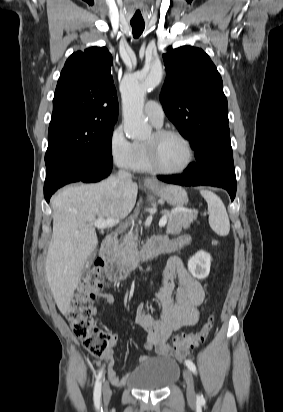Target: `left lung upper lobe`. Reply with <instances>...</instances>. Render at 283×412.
Returning <instances> with one entry per match:
<instances>
[{"mask_svg":"<svg viewBox=\"0 0 283 412\" xmlns=\"http://www.w3.org/2000/svg\"><path fill=\"white\" fill-rule=\"evenodd\" d=\"M163 59L167 75L160 100L166 115L195 157L208 152L228 158L235 177L227 99L215 65L202 49L190 46L168 48Z\"/></svg>","mask_w":283,"mask_h":412,"instance_id":"left-lung-upper-lobe-1","label":"left lung upper lobe"}]
</instances>
